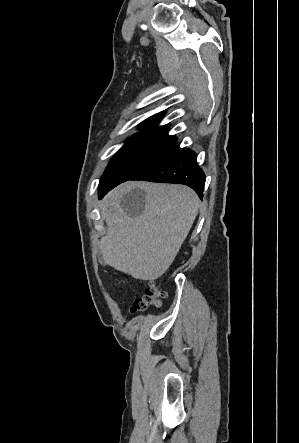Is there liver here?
Wrapping results in <instances>:
<instances>
[{
	"mask_svg": "<svg viewBox=\"0 0 299 443\" xmlns=\"http://www.w3.org/2000/svg\"><path fill=\"white\" fill-rule=\"evenodd\" d=\"M125 196H128L125 199ZM199 198L182 185L135 182L103 200L105 264L135 279L153 281L174 261L197 216Z\"/></svg>",
	"mask_w": 299,
	"mask_h": 443,
	"instance_id": "1",
	"label": "liver"
}]
</instances>
